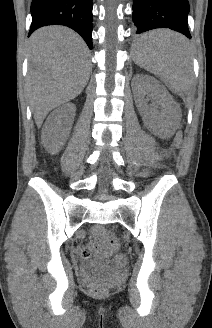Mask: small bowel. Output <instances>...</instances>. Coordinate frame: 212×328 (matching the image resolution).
<instances>
[{
    "label": "small bowel",
    "mask_w": 212,
    "mask_h": 328,
    "mask_svg": "<svg viewBox=\"0 0 212 328\" xmlns=\"http://www.w3.org/2000/svg\"><path fill=\"white\" fill-rule=\"evenodd\" d=\"M94 235L97 236L98 235V231L94 232ZM101 245L100 244H96V245H91L85 249L82 250V253H85L86 256H88L94 249H100Z\"/></svg>",
    "instance_id": "c3829d8e"
}]
</instances>
